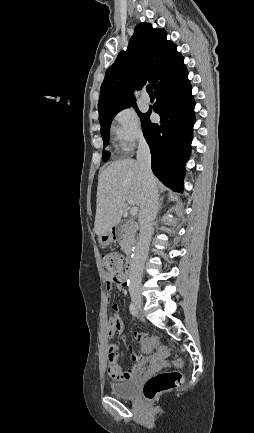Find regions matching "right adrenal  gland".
Segmentation results:
<instances>
[{"instance_id": "right-adrenal-gland-1", "label": "right adrenal gland", "mask_w": 254, "mask_h": 433, "mask_svg": "<svg viewBox=\"0 0 254 433\" xmlns=\"http://www.w3.org/2000/svg\"><path fill=\"white\" fill-rule=\"evenodd\" d=\"M162 201H163V198L160 199L158 210H160L162 208Z\"/></svg>"}]
</instances>
